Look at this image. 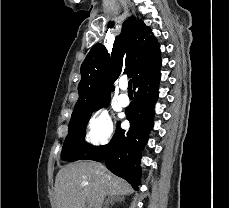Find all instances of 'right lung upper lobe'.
I'll use <instances>...</instances> for the list:
<instances>
[{
  "label": "right lung upper lobe",
  "mask_w": 229,
  "mask_h": 208,
  "mask_svg": "<svg viewBox=\"0 0 229 208\" xmlns=\"http://www.w3.org/2000/svg\"><path fill=\"white\" fill-rule=\"evenodd\" d=\"M161 66L159 43L144 22L130 17L116 37L111 56L101 43L95 44L81 65L79 99L71 119L88 115L99 104L110 100L113 79L126 73L133 86Z\"/></svg>",
  "instance_id": "1"
}]
</instances>
